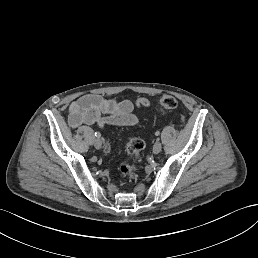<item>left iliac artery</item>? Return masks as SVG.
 I'll return each instance as SVG.
<instances>
[{
	"instance_id": "1",
	"label": "left iliac artery",
	"mask_w": 258,
	"mask_h": 258,
	"mask_svg": "<svg viewBox=\"0 0 258 258\" xmlns=\"http://www.w3.org/2000/svg\"><path fill=\"white\" fill-rule=\"evenodd\" d=\"M159 135H160V131H156L155 136H159Z\"/></svg>"
}]
</instances>
